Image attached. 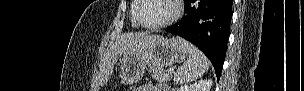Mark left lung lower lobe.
Returning <instances> with one entry per match:
<instances>
[{
	"label": "left lung lower lobe",
	"instance_id": "1",
	"mask_svg": "<svg viewBox=\"0 0 304 91\" xmlns=\"http://www.w3.org/2000/svg\"><path fill=\"white\" fill-rule=\"evenodd\" d=\"M185 15L166 28L196 45L211 61L219 80L230 35L232 0H184Z\"/></svg>",
	"mask_w": 304,
	"mask_h": 91
}]
</instances>
